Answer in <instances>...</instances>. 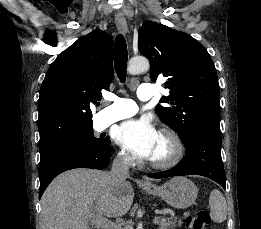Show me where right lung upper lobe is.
Instances as JSON below:
<instances>
[{"label":"right lung upper lobe","mask_w":261,"mask_h":229,"mask_svg":"<svg viewBox=\"0 0 261 229\" xmlns=\"http://www.w3.org/2000/svg\"><path fill=\"white\" fill-rule=\"evenodd\" d=\"M113 78L112 40L94 30L58 55L38 100L39 150L65 144L93 130L90 105L99 104Z\"/></svg>","instance_id":"1"}]
</instances>
